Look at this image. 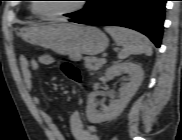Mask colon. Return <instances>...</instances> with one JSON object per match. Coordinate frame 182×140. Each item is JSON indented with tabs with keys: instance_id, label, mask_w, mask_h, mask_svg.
Instances as JSON below:
<instances>
[{
	"instance_id": "1",
	"label": "colon",
	"mask_w": 182,
	"mask_h": 140,
	"mask_svg": "<svg viewBox=\"0 0 182 140\" xmlns=\"http://www.w3.org/2000/svg\"><path fill=\"white\" fill-rule=\"evenodd\" d=\"M63 70H64V72H65L69 77H71V78H73V79H77V75H78L77 70H76L72 65H70V64H65V65L63 66Z\"/></svg>"
}]
</instances>
